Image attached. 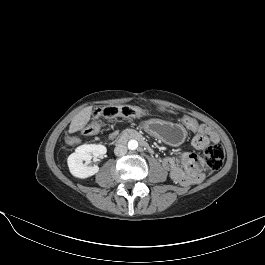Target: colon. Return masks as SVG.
Instances as JSON below:
<instances>
[{
	"instance_id": "5ec220e1",
	"label": "colon",
	"mask_w": 265,
	"mask_h": 265,
	"mask_svg": "<svg viewBox=\"0 0 265 265\" xmlns=\"http://www.w3.org/2000/svg\"><path fill=\"white\" fill-rule=\"evenodd\" d=\"M147 110L131 105H108L98 108L94 111L91 120L83 128V133L86 135H94L110 120L117 117L125 118H141L147 116ZM182 122L188 128H197V121L191 117L185 116ZM205 169L208 174H213L218 171L224 162L225 152L220 144H211L207 146L203 153Z\"/></svg>"
}]
</instances>
